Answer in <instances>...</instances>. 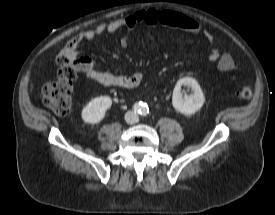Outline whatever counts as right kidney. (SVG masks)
<instances>
[{
  "label": "right kidney",
  "mask_w": 275,
  "mask_h": 215,
  "mask_svg": "<svg viewBox=\"0 0 275 215\" xmlns=\"http://www.w3.org/2000/svg\"><path fill=\"white\" fill-rule=\"evenodd\" d=\"M112 105L108 96H101L91 100L82 110V119L86 123H99L105 116V112Z\"/></svg>",
  "instance_id": "ca27d5eb"
}]
</instances>
